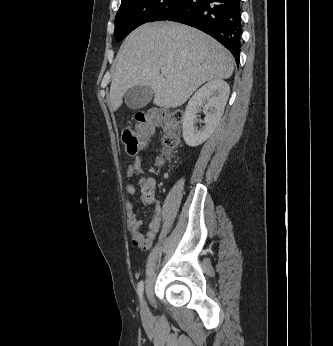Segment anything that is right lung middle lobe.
<instances>
[{"label": "right lung middle lobe", "instance_id": "dd1d6c3e", "mask_svg": "<svg viewBox=\"0 0 333 346\" xmlns=\"http://www.w3.org/2000/svg\"><path fill=\"white\" fill-rule=\"evenodd\" d=\"M184 0H122L115 17V39L120 41L138 26L167 19Z\"/></svg>", "mask_w": 333, "mask_h": 346}]
</instances>
